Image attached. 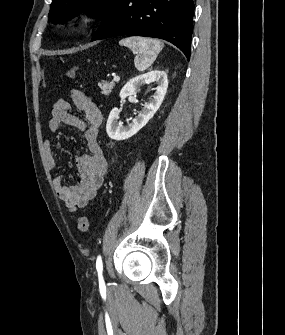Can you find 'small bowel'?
<instances>
[{
	"instance_id": "obj_1",
	"label": "small bowel",
	"mask_w": 285,
	"mask_h": 335,
	"mask_svg": "<svg viewBox=\"0 0 285 335\" xmlns=\"http://www.w3.org/2000/svg\"><path fill=\"white\" fill-rule=\"evenodd\" d=\"M71 98L81 116L73 112L72 105L64 98L57 99L52 107L48 128L57 132L63 125L72 126L84 134L87 154L76 156L75 164L79 180L66 185L61 175L53 178L55 191L70 211L85 207L101 187L107 173L108 163L98 136L102 124V113L92 99L80 90H72ZM46 162L51 169L57 166V158L51 141L44 143Z\"/></svg>"
}]
</instances>
